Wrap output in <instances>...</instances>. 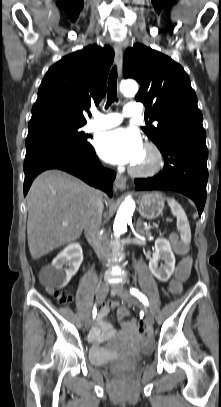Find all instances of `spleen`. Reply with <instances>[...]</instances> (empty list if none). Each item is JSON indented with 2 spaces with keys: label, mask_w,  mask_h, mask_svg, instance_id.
Returning a JSON list of instances; mask_svg holds the SVG:
<instances>
[{
  "label": "spleen",
  "mask_w": 221,
  "mask_h": 407,
  "mask_svg": "<svg viewBox=\"0 0 221 407\" xmlns=\"http://www.w3.org/2000/svg\"><path fill=\"white\" fill-rule=\"evenodd\" d=\"M171 212L177 218V229L180 232L181 240L185 244L191 241V230L185 211L174 198H167Z\"/></svg>",
  "instance_id": "1"
}]
</instances>
